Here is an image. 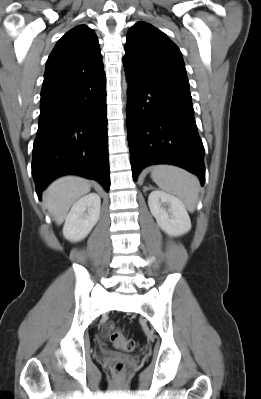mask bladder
I'll use <instances>...</instances> for the list:
<instances>
[{
    "label": "bladder",
    "mask_w": 261,
    "mask_h": 399,
    "mask_svg": "<svg viewBox=\"0 0 261 399\" xmlns=\"http://www.w3.org/2000/svg\"><path fill=\"white\" fill-rule=\"evenodd\" d=\"M100 353H101L102 355H107V356L114 355V353H113L112 351H106V350H103V351H101Z\"/></svg>",
    "instance_id": "obj_1"
}]
</instances>
